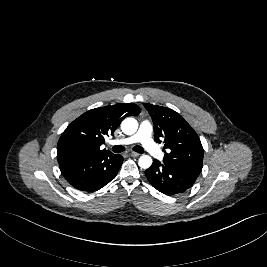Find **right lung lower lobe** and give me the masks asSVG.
Segmentation results:
<instances>
[{"label": "right lung lower lobe", "instance_id": "obj_1", "mask_svg": "<svg viewBox=\"0 0 267 267\" xmlns=\"http://www.w3.org/2000/svg\"><path fill=\"white\" fill-rule=\"evenodd\" d=\"M122 163L123 157L112 153L61 163L59 167L73 187L81 191L93 192L113 180Z\"/></svg>", "mask_w": 267, "mask_h": 267}]
</instances>
